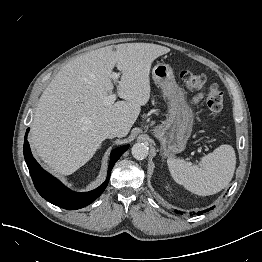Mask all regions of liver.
I'll return each instance as SVG.
<instances>
[{
    "label": "liver",
    "instance_id": "obj_1",
    "mask_svg": "<svg viewBox=\"0 0 262 262\" xmlns=\"http://www.w3.org/2000/svg\"><path fill=\"white\" fill-rule=\"evenodd\" d=\"M103 47L67 63L43 91L30 132L36 154L55 173L70 175L86 164L115 124L126 136L150 98L153 61L170 49L152 43ZM121 72L117 94L125 101L106 105L114 67Z\"/></svg>",
    "mask_w": 262,
    "mask_h": 262
}]
</instances>
